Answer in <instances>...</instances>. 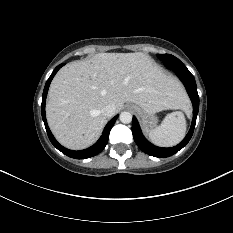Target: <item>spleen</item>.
<instances>
[{
	"mask_svg": "<svg viewBox=\"0 0 233 233\" xmlns=\"http://www.w3.org/2000/svg\"><path fill=\"white\" fill-rule=\"evenodd\" d=\"M186 133V119L181 111L168 114L161 125L149 133L152 143L161 147H171L178 144Z\"/></svg>",
	"mask_w": 233,
	"mask_h": 233,
	"instance_id": "3e777b00",
	"label": "spleen"
}]
</instances>
